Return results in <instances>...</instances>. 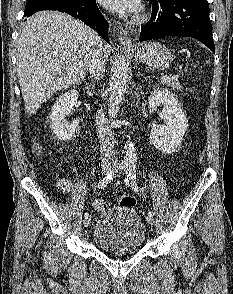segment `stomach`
I'll return each mask as SVG.
<instances>
[{"instance_id": "obj_1", "label": "stomach", "mask_w": 233, "mask_h": 294, "mask_svg": "<svg viewBox=\"0 0 233 294\" xmlns=\"http://www.w3.org/2000/svg\"><path fill=\"white\" fill-rule=\"evenodd\" d=\"M135 58L160 70L169 68L174 59L171 51L158 42L142 44L136 49Z\"/></svg>"}]
</instances>
